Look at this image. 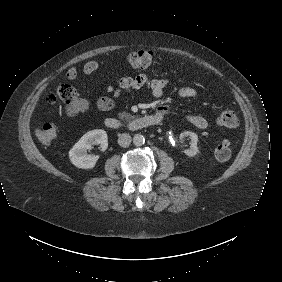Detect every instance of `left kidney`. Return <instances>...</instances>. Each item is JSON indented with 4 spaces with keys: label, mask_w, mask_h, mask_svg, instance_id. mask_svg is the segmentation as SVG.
<instances>
[{
    "label": "left kidney",
    "mask_w": 282,
    "mask_h": 282,
    "mask_svg": "<svg viewBox=\"0 0 282 282\" xmlns=\"http://www.w3.org/2000/svg\"><path fill=\"white\" fill-rule=\"evenodd\" d=\"M188 137L190 139V148L189 149H185L184 153L189 156V157H193L197 154L198 152V147H197V143H198V136L196 133L191 132V131H184L180 134L179 136V140L181 142L184 141V139Z\"/></svg>",
    "instance_id": "obj_1"
}]
</instances>
